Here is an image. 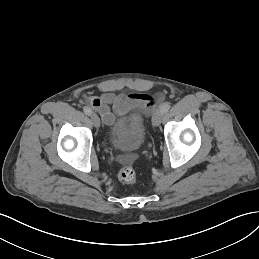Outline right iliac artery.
I'll return each instance as SVG.
<instances>
[{
  "mask_svg": "<svg viewBox=\"0 0 259 259\" xmlns=\"http://www.w3.org/2000/svg\"><path fill=\"white\" fill-rule=\"evenodd\" d=\"M83 111H84V113H85L86 115H91V113H92V111H91V109H90L89 107H84V108H83Z\"/></svg>",
  "mask_w": 259,
  "mask_h": 259,
  "instance_id": "82829eb1",
  "label": "right iliac artery"
}]
</instances>
